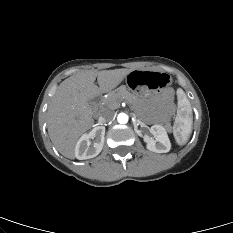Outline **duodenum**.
<instances>
[{"label": "duodenum", "instance_id": "duodenum-1", "mask_svg": "<svg viewBox=\"0 0 233 233\" xmlns=\"http://www.w3.org/2000/svg\"><path fill=\"white\" fill-rule=\"evenodd\" d=\"M92 102L96 108V110H98L99 104H100V96L97 94L92 98Z\"/></svg>", "mask_w": 233, "mask_h": 233}]
</instances>
